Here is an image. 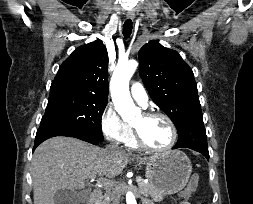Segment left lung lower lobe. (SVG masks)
Here are the masks:
<instances>
[{"label":"left lung lower lobe","instance_id":"0a47b994","mask_svg":"<svg viewBox=\"0 0 253 204\" xmlns=\"http://www.w3.org/2000/svg\"><path fill=\"white\" fill-rule=\"evenodd\" d=\"M179 139L173 149L190 148L202 153L209 159L207 136L202 115L195 116L187 121L186 125L178 132Z\"/></svg>","mask_w":253,"mask_h":204}]
</instances>
